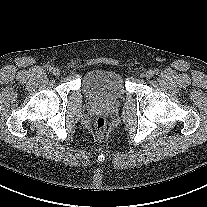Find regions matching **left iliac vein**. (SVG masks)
I'll list each match as a JSON object with an SVG mask.
<instances>
[{
	"instance_id": "left-iliac-vein-1",
	"label": "left iliac vein",
	"mask_w": 207,
	"mask_h": 207,
	"mask_svg": "<svg viewBox=\"0 0 207 207\" xmlns=\"http://www.w3.org/2000/svg\"><path fill=\"white\" fill-rule=\"evenodd\" d=\"M144 76L146 79H151L153 77V72L151 70H149L145 73Z\"/></svg>"
}]
</instances>
